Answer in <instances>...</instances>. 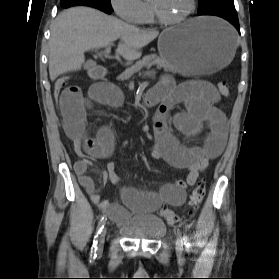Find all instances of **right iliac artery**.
Masks as SVG:
<instances>
[{
    "instance_id": "right-iliac-artery-1",
    "label": "right iliac artery",
    "mask_w": 279,
    "mask_h": 279,
    "mask_svg": "<svg viewBox=\"0 0 279 279\" xmlns=\"http://www.w3.org/2000/svg\"><path fill=\"white\" fill-rule=\"evenodd\" d=\"M106 222V216H102V218L100 219L98 226H97V230H96V234L94 236V240H93V245L91 247V255H95L96 251H97V243H98V237L99 234L102 232L104 225Z\"/></svg>"
}]
</instances>
